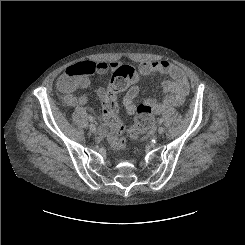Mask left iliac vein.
<instances>
[{"mask_svg": "<svg viewBox=\"0 0 245 245\" xmlns=\"http://www.w3.org/2000/svg\"><path fill=\"white\" fill-rule=\"evenodd\" d=\"M164 131H165V129H164L163 126H160V127L158 128V133H159V134H163Z\"/></svg>", "mask_w": 245, "mask_h": 245, "instance_id": "obj_1", "label": "left iliac vein"}]
</instances>
